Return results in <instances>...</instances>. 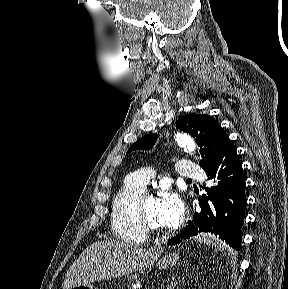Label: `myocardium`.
<instances>
[{
  "instance_id": "f54148a6",
  "label": "myocardium",
  "mask_w": 288,
  "mask_h": 289,
  "mask_svg": "<svg viewBox=\"0 0 288 289\" xmlns=\"http://www.w3.org/2000/svg\"><path fill=\"white\" fill-rule=\"evenodd\" d=\"M149 197L146 193H142L141 196L138 198L135 208H134V216H135V221L139 229H141L143 232L147 233H152L159 235L163 231L158 228L156 225H154L145 215L144 213V200Z\"/></svg>"
}]
</instances>
